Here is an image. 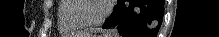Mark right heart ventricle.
Here are the masks:
<instances>
[{"instance_id":"1","label":"right heart ventricle","mask_w":219,"mask_h":37,"mask_svg":"<svg viewBox=\"0 0 219 37\" xmlns=\"http://www.w3.org/2000/svg\"><path fill=\"white\" fill-rule=\"evenodd\" d=\"M72 6L70 0H61L58 2L57 5V18H58V25L59 30L61 33H71L76 32L82 27L75 25L68 17V12Z\"/></svg>"}]
</instances>
